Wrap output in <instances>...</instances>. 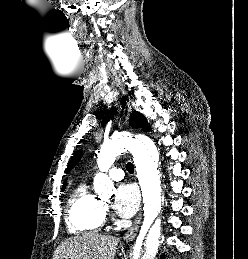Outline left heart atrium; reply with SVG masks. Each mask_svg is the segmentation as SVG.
Listing matches in <instances>:
<instances>
[{
    "label": "left heart atrium",
    "instance_id": "left-heart-atrium-1",
    "mask_svg": "<svg viewBox=\"0 0 248 259\" xmlns=\"http://www.w3.org/2000/svg\"><path fill=\"white\" fill-rule=\"evenodd\" d=\"M139 204V193L135 186L120 184L116 189L114 207L117 213L124 217H131L137 210Z\"/></svg>",
    "mask_w": 248,
    "mask_h": 259
}]
</instances>
